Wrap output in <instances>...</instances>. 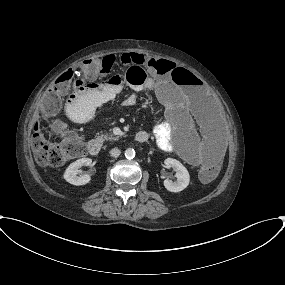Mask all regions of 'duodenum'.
<instances>
[{"label": "duodenum", "instance_id": "obj_1", "mask_svg": "<svg viewBox=\"0 0 285 285\" xmlns=\"http://www.w3.org/2000/svg\"><path fill=\"white\" fill-rule=\"evenodd\" d=\"M75 106L76 108L80 107L79 104H76ZM135 140L137 142H145L148 140V134L145 131H139L135 135ZM87 149L90 155L92 156L98 155L101 150L100 142L96 139L90 140L88 143Z\"/></svg>", "mask_w": 285, "mask_h": 285}]
</instances>
